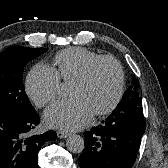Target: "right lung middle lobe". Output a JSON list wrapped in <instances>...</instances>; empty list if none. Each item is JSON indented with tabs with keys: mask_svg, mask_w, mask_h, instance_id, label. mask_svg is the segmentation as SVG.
I'll list each match as a JSON object with an SVG mask.
<instances>
[{
	"mask_svg": "<svg viewBox=\"0 0 168 168\" xmlns=\"http://www.w3.org/2000/svg\"><path fill=\"white\" fill-rule=\"evenodd\" d=\"M47 49L11 46L0 54V110L32 113L22 82L24 66Z\"/></svg>",
	"mask_w": 168,
	"mask_h": 168,
	"instance_id": "dd1d6c3e",
	"label": "right lung middle lobe"
}]
</instances>
